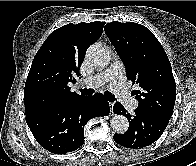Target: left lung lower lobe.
I'll list each match as a JSON object with an SVG mask.
<instances>
[{
	"mask_svg": "<svg viewBox=\"0 0 196 166\" xmlns=\"http://www.w3.org/2000/svg\"><path fill=\"white\" fill-rule=\"evenodd\" d=\"M113 111L126 116L129 121V128L124 134H114V141L126 148L137 149L152 144L162 135L170 120L138 108L135 115L131 116L119 102L114 104Z\"/></svg>",
	"mask_w": 196,
	"mask_h": 166,
	"instance_id": "1",
	"label": "left lung lower lobe"
}]
</instances>
